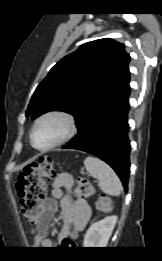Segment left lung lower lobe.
<instances>
[{
  "mask_svg": "<svg viewBox=\"0 0 162 261\" xmlns=\"http://www.w3.org/2000/svg\"><path fill=\"white\" fill-rule=\"evenodd\" d=\"M129 82L96 109L78 134L63 149H77L105 161L117 173L127 190L130 170L128 137Z\"/></svg>",
  "mask_w": 162,
  "mask_h": 261,
  "instance_id": "1",
  "label": "left lung lower lobe"
}]
</instances>
